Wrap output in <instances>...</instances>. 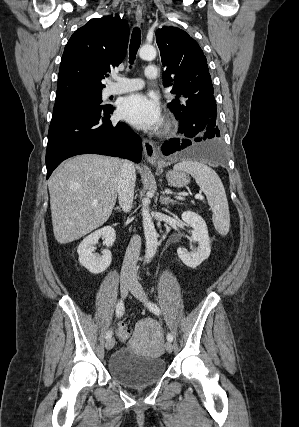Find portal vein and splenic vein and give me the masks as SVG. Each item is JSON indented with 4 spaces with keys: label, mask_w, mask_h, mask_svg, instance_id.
<instances>
[{
    "label": "portal vein and splenic vein",
    "mask_w": 299,
    "mask_h": 427,
    "mask_svg": "<svg viewBox=\"0 0 299 427\" xmlns=\"http://www.w3.org/2000/svg\"><path fill=\"white\" fill-rule=\"evenodd\" d=\"M195 198H196V199H203V197H202V195H201V194H197V195H195ZM176 199L184 200V198H183V197H181V196L176 197Z\"/></svg>",
    "instance_id": "18ae733b"
}]
</instances>
